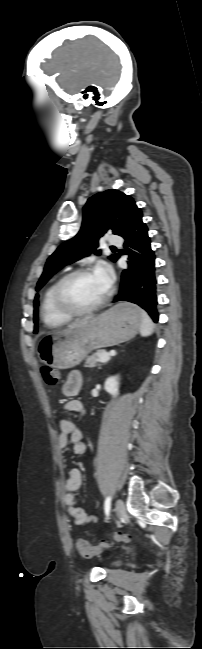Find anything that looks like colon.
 Instances as JSON below:
<instances>
[{
	"mask_svg": "<svg viewBox=\"0 0 202 649\" xmlns=\"http://www.w3.org/2000/svg\"><path fill=\"white\" fill-rule=\"evenodd\" d=\"M40 374L43 381L49 386H55L60 382L59 372L52 367L49 366L41 367ZM109 545H110L109 541H103L100 542L99 544L93 545L85 540L80 539L77 542V549L81 554V556H83L84 558H91L97 555L98 553L102 552Z\"/></svg>",
	"mask_w": 202,
	"mask_h": 649,
	"instance_id": "obj_1",
	"label": "colon"
}]
</instances>
